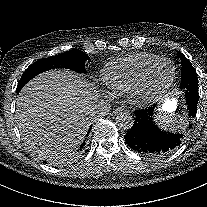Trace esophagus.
<instances>
[{"label": "esophagus", "mask_w": 207, "mask_h": 207, "mask_svg": "<svg viewBox=\"0 0 207 207\" xmlns=\"http://www.w3.org/2000/svg\"><path fill=\"white\" fill-rule=\"evenodd\" d=\"M112 113H113L114 115H121V114L124 113V109L121 108V107H117V108H115V109L113 110Z\"/></svg>", "instance_id": "34e87169"}]
</instances>
